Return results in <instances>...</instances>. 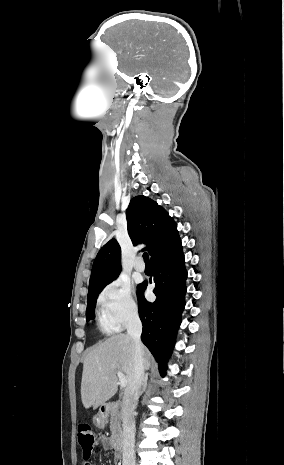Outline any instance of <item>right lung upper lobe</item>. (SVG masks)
Listing matches in <instances>:
<instances>
[{"label": "right lung upper lobe", "mask_w": 284, "mask_h": 465, "mask_svg": "<svg viewBox=\"0 0 284 465\" xmlns=\"http://www.w3.org/2000/svg\"><path fill=\"white\" fill-rule=\"evenodd\" d=\"M127 228L134 245L145 243L153 258L178 237L177 224L152 199L136 196L126 210ZM121 271V248L115 239L109 240L99 251L92 267L88 296L103 289Z\"/></svg>", "instance_id": "obj_1"}]
</instances>
